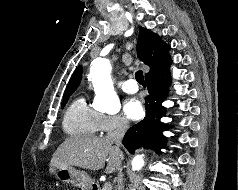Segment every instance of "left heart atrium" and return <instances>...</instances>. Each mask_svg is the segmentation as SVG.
<instances>
[{"mask_svg":"<svg viewBox=\"0 0 238 190\" xmlns=\"http://www.w3.org/2000/svg\"><path fill=\"white\" fill-rule=\"evenodd\" d=\"M125 113L131 119H140L143 115V106L136 98L129 99L124 106Z\"/></svg>","mask_w":238,"mask_h":190,"instance_id":"obj_1","label":"left heart atrium"}]
</instances>
